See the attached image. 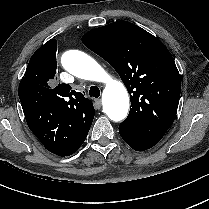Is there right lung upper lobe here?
<instances>
[{
  "label": "right lung upper lobe",
  "instance_id": "cb5924a9",
  "mask_svg": "<svg viewBox=\"0 0 209 209\" xmlns=\"http://www.w3.org/2000/svg\"><path fill=\"white\" fill-rule=\"evenodd\" d=\"M57 41L51 39L31 57L19 85L22 108L46 104L50 108L49 125L59 130L61 141L69 147L84 143L94 118L92 102L67 84H58L51 89L48 81L56 73ZM37 75L44 76L41 85L32 81Z\"/></svg>",
  "mask_w": 209,
  "mask_h": 209
}]
</instances>
